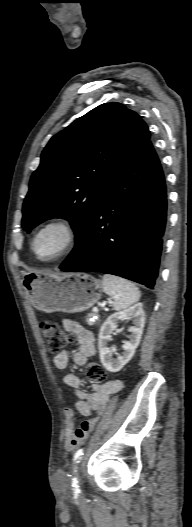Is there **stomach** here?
I'll return each mask as SVG.
<instances>
[{"instance_id":"0dacf381","label":"stomach","mask_w":192,"mask_h":527,"mask_svg":"<svg viewBox=\"0 0 192 527\" xmlns=\"http://www.w3.org/2000/svg\"><path fill=\"white\" fill-rule=\"evenodd\" d=\"M24 285L34 307L46 313L85 311L102 294L100 281L84 273H32L25 276Z\"/></svg>"}]
</instances>
